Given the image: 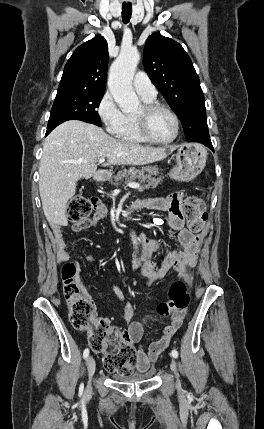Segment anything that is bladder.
<instances>
[{
  "mask_svg": "<svg viewBox=\"0 0 264 429\" xmlns=\"http://www.w3.org/2000/svg\"><path fill=\"white\" fill-rule=\"evenodd\" d=\"M155 374L154 369H149L143 373H133L129 375H115L114 379L122 383L141 382L151 379Z\"/></svg>",
  "mask_w": 264,
  "mask_h": 429,
  "instance_id": "1",
  "label": "bladder"
}]
</instances>
